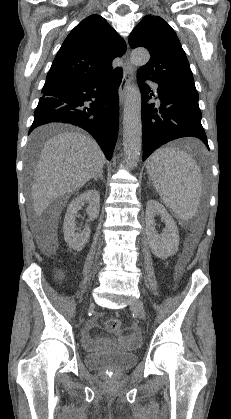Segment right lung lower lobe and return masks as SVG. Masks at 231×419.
I'll use <instances>...</instances> for the list:
<instances>
[{
  "label": "right lung lower lobe",
  "mask_w": 231,
  "mask_h": 419,
  "mask_svg": "<svg viewBox=\"0 0 231 419\" xmlns=\"http://www.w3.org/2000/svg\"><path fill=\"white\" fill-rule=\"evenodd\" d=\"M119 68L103 77L53 86L42 92L29 133L36 127L63 122L78 125L98 142L108 160L118 135ZM91 101L89 106L84 102Z\"/></svg>",
  "instance_id": "right-lung-lower-lobe-1"
}]
</instances>
